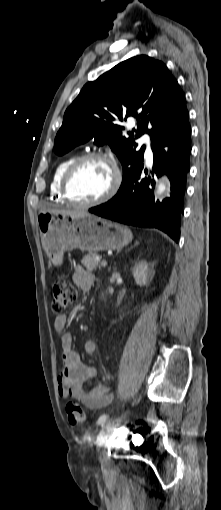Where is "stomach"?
I'll use <instances>...</instances> for the list:
<instances>
[{"label":"stomach","instance_id":"0dacf381","mask_svg":"<svg viewBox=\"0 0 221 510\" xmlns=\"http://www.w3.org/2000/svg\"><path fill=\"white\" fill-rule=\"evenodd\" d=\"M38 227L45 253L54 265L62 263L65 251L121 249L133 238L127 227L93 215L43 212L38 216Z\"/></svg>","mask_w":221,"mask_h":510}]
</instances>
